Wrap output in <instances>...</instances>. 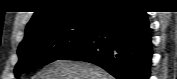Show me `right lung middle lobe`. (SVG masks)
Masks as SVG:
<instances>
[{"label":"right lung middle lobe","mask_w":177,"mask_h":79,"mask_svg":"<svg viewBox=\"0 0 177 79\" xmlns=\"http://www.w3.org/2000/svg\"><path fill=\"white\" fill-rule=\"evenodd\" d=\"M99 16L93 13L26 33L18 48L19 62L15 67V76L59 60L88 37Z\"/></svg>","instance_id":"dd1d6c3e"}]
</instances>
